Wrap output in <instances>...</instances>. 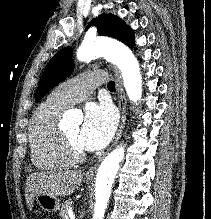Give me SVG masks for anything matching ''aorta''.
Returning <instances> with one entry per match:
<instances>
[{
    "label": "aorta",
    "instance_id": "762f6f07",
    "mask_svg": "<svg viewBox=\"0 0 211 219\" xmlns=\"http://www.w3.org/2000/svg\"><path fill=\"white\" fill-rule=\"evenodd\" d=\"M105 57L121 71L124 87L129 99L137 102L142 96V77L137 59L132 51L119 43L86 39L77 50L79 61ZM74 119V117H73ZM79 122L80 117H75ZM124 158V147L120 146L108 154L98 168L95 181V207L92 219H104L119 163Z\"/></svg>",
    "mask_w": 211,
    "mask_h": 219
}]
</instances>
